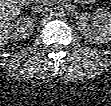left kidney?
<instances>
[{
    "label": "left kidney",
    "instance_id": "left-kidney-1",
    "mask_svg": "<svg viewBox=\"0 0 111 106\" xmlns=\"http://www.w3.org/2000/svg\"><path fill=\"white\" fill-rule=\"evenodd\" d=\"M76 19L78 29L89 42L104 43L111 40V13L108 11L97 9L92 15L84 13ZM88 21H91V25Z\"/></svg>",
    "mask_w": 111,
    "mask_h": 106
}]
</instances>
